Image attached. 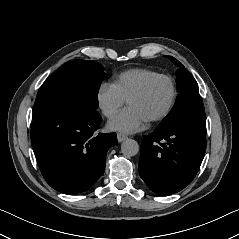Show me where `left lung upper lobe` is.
<instances>
[{"label": "left lung upper lobe", "instance_id": "obj_1", "mask_svg": "<svg viewBox=\"0 0 239 239\" xmlns=\"http://www.w3.org/2000/svg\"><path fill=\"white\" fill-rule=\"evenodd\" d=\"M168 58L179 67L176 72L179 95L170 113L160 123L158 130L165 129L187 117H205L204 105L196 80L178 60L172 56Z\"/></svg>", "mask_w": 239, "mask_h": 239}]
</instances>
